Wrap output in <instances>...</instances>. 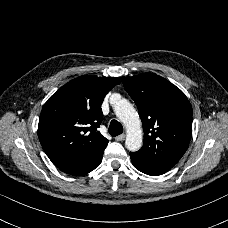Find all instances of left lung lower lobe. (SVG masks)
Segmentation results:
<instances>
[{
    "mask_svg": "<svg viewBox=\"0 0 228 228\" xmlns=\"http://www.w3.org/2000/svg\"><path fill=\"white\" fill-rule=\"evenodd\" d=\"M130 157H131V161H132V164L134 165V167L147 175H152V176L161 175L170 169V168L157 167V166L146 164V163L134 158L131 154H130Z\"/></svg>",
    "mask_w": 228,
    "mask_h": 228,
    "instance_id": "obj_1",
    "label": "left lung lower lobe"
}]
</instances>
